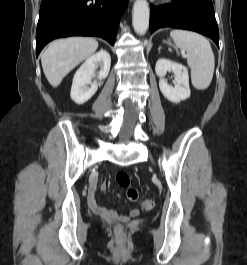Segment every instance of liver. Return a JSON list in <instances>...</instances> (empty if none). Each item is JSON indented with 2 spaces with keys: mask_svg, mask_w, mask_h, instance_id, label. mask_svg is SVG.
Returning <instances> with one entry per match:
<instances>
[{
  "mask_svg": "<svg viewBox=\"0 0 247 265\" xmlns=\"http://www.w3.org/2000/svg\"><path fill=\"white\" fill-rule=\"evenodd\" d=\"M98 48L95 39L70 37L51 42L41 54L43 72L48 82L57 87L62 79Z\"/></svg>",
  "mask_w": 247,
  "mask_h": 265,
  "instance_id": "6515ba94",
  "label": "liver"
}]
</instances>
